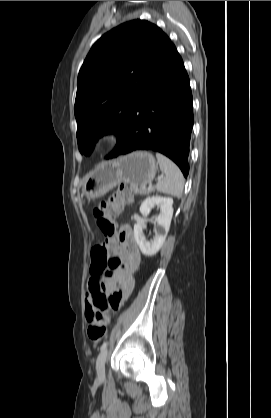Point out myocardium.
<instances>
[{"label":"myocardium","instance_id":"obj_1","mask_svg":"<svg viewBox=\"0 0 271 418\" xmlns=\"http://www.w3.org/2000/svg\"><path fill=\"white\" fill-rule=\"evenodd\" d=\"M118 141V133L115 130L101 132L96 138V146L99 149L107 148Z\"/></svg>","mask_w":271,"mask_h":418}]
</instances>
